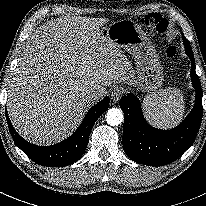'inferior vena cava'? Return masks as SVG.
I'll use <instances>...</instances> for the list:
<instances>
[{"label": "inferior vena cava", "instance_id": "1", "mask_svg": "<svg viewBox=\"0 0 206 206\" xmlns=\"http://www.w3.org/2000/svg\"><path fill=\"white\" fill-rule=\"evenodd\" d=\"M104 95H105V92L94 91L89 95V99L92 102H97L98 100L102 99Z\"/></svg>", "mask_w": 206, "mask_h": 206}]
</instances>
